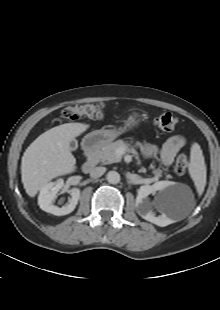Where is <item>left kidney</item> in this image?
I'll return each mask as SVG.
<instances>
[{
    "mask_svg": "<svg viewBox=\"0 0 220 310\" xmlns=\"http://www.w3.org/2000/svg\"><path fill=\"white\" fill-rule=\"evenodd\" d=\"M175 189L176 184L171 181H159L153 185L141 186L136 197V205L140 216L145 220L161 227L169 225L171 223V219L163 212L160 216L156 217L152 212V206H156L158 209L163 210L164 206L168 203V198L166 196ZM156 191H160L162 194L157 197L153 204H151L147 200V197L149 194L155 193Z\"/></svg>",
    "mask_w": 220,
    "mask_h": 310,
    "instance_id": "1",
    "label": "left kidney"
}]
</instances>
